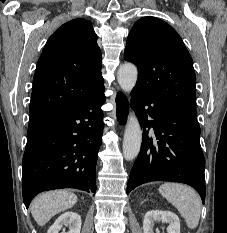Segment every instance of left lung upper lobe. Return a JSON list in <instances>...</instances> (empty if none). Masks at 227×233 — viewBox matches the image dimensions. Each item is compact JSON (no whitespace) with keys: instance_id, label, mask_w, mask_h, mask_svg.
<instances>
[{"instance_id":"left-lung-upper-lobe-1","label":"left lung upper lobe","mask_w":227,"mask_h":233,"mask_svg":"<svg viewBox=\"0 0 227 233\" xmlns=\"http://www.w3.org/2000/svg\"><path fill=\"white\" fill-rule=\"evenodd\" d=\"M124 58L138 67L136 90L197 118L193 61L170 25L155 17L138 20L128 35Z\"/></svg>"}]
</instances>
